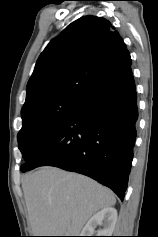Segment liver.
Here are the masks:
<instances>
[{"mask_svg":"<svg viewBox=\"0 0 158 237\" xmlns=\"http://www.w3.org/2000/svg\"><path fill=\"white\" fill-rule=\"evenodd\" d=\"M22 189L33 236H78L92 215L116 202L96 181L51 166L25 174Z\"/></svg>","mask_w":158,"mask_h":237,"instance_id":"1","label":"liver"}]
</instances>
